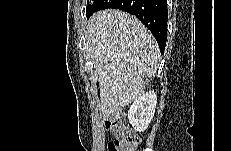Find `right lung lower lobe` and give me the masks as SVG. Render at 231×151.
Instances as JSON below:
<instances>
[{
  "label": "right lung lower lobe",
  "mask_w": 231,
  "mask_h": 151,
  "mask_svg": "<svg viewBox=\"0 0 231 151\" xmlns=\"http://www.w3.org/2000/svg\"><path fill=\"white\" fill-rule=\"evenodd\" d=\"M115 8L135 15L154 35L161 54L167 40L168 9L166 0H94L86 10L89 18L94 12Z\"/></svg>",
  "instance_id": "1"
}]
</instances>
